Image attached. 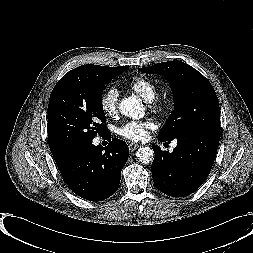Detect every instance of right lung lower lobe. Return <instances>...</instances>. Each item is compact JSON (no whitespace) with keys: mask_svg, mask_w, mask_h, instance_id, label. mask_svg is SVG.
Returning a JSON list of instances; mask_svg holds the SVG:
<instances>
[{"mask_svg":"<svg viewBox=\"0 0 253 253\" xmlns=\"http://www.w3.org/2000/svg\"><path fill=\"white\" fill-rule=\"evenodd\" d=\"M109 143L105 149L92 141L78 145L58 165L69 188L90 201H102L113 195L120 183L121 170L129 156L127 144L104 134Z\"/></svg>","mask_w":253,"mask_h":253,"instance_id":"obj_1","label":"right lung lower lobe"}]
</instances>
